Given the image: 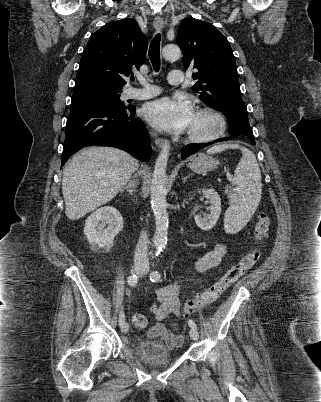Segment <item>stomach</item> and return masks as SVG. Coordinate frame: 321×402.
<instances>
[{"mask_svg": "<svg viewBox=\"0 0 321 402\" xmlns=\"http://www.w3.org/2000/svg\"><path fill=\"white\" fill-rule=\"evenodd\" d=\"M219 161L203 153H197L188 159V167L196 173L205 174L215 169Z\"/></svg>", "mask_w": 321, "mask_h": 402, "instance_id": "0dacf381", "label": "stomach"}]
</instances>
